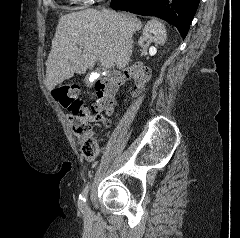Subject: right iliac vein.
<instances>
[{"mask_svg":"<svg viewBox=\"0 0 240 238\" xmlns=\"http://www.w3.org/2000/svg\"><path fill=\"white\" fill-rule=\"evenodd\" d=\"M85 213H86V214L89 213V208H88V206L85 207Z\"/></svg>","mask_w":240,"mask_h":238,"instance_id":"1","label":"right iliac vein"}]
</instances>
